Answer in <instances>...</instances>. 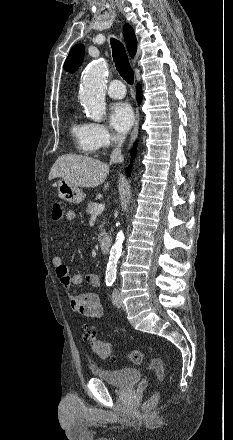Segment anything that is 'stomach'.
<instances>
[{
    "instance_id": "0dacf381",
    "label": "stomach",
    "mask_w": 233,
    "mask_h": 440,
    "mask_svg": "<svg viewBox=\"0 0 233 440\" xmlns=\"http://www.w3.org/2000/svg\"><path fill=\"white\" fill-rule=\"evenodd\" d=\"M58 196L67 202L79 204L84 200V193L82 190L62 179L57 183Z\"/></svg>"
}]
</instances>
